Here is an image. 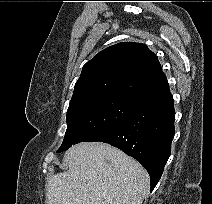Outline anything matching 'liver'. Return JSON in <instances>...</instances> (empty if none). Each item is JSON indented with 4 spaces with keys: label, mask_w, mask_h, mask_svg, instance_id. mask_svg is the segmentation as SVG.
I'll return each instance as SVG.
<instances>
[{
    "label": "liver",
    "mask_w": 212,
    "mask_h": 204,
    "mask_svg": "<svg viewBox=\"0 0 212 204\" xmlns=\"http://www.w3.org/2000/svg\"><path fill=\"white\" fill-rule=\"evenodd\" d=\"M63 162L69 170L49 179L47 204H142L149 190L147 171L107 143L74 145Z\"/></svg>",
    "instance_id": "6515ba94"
}]
</instances>
